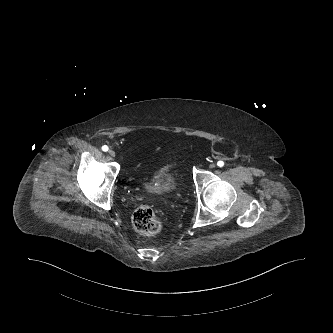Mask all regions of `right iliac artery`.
Masks as SVG:
<instances>
[{"label": "right iliac artery", "instance_id": "82829eb1", "mask_svg": "<svg viewBox=\"0 0 333 333\" xmlns=\"http://www.w3.org/2000/svg\"><path fill=\"white\" fill-rule=\"evenodd\" d=\"M108 146L107 145H104V146H102V150L104 151V152H106V151H108Z\"/></svg>", "mask_w": 333, "mask_h": 333}]
</instances>
